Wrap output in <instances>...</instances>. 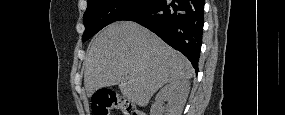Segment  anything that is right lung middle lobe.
<instances>
[{
	"instance_id": "dd1d6c3e",
	"label": "right lung middle lobe",
	"mask_w": 285,
	"mask_h": 115,
	"mask_svg": "<svg viewBox=\"0 0 285 115\" xmlns=\"http://www.w3.org/2000/svg\"><path fill=\"white\" fill-rule=\"evenodd\" d=\"M154 0H88L83 16L86 41L108 24L122 20L127 15L150 5Z\"/></svg>"
}]
</instances>
